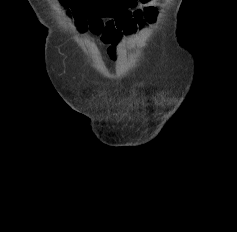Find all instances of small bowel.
Masks as SVG:
<instances>
[{
  "mask_svg": "<svg viewBox=\"0 0 237 232\" xmlns=\"http://www.w3.org/2000/svg\"><path fill=\"white\" fill-rule=\"evenodd\" d=\"M155 1L144 0L137 9L111 18L96 29H102L101 40L107 46L109 55L116 56L117 46L121 43L123 37L133 34L139 28L146 27L155 20L158 10Z\"/></svg>",
  "mask_w": 237,
  "mask_h": 232,
  "instance_id": "small-bowel-1",
  "label": "small bowel"
}]
</instances>
